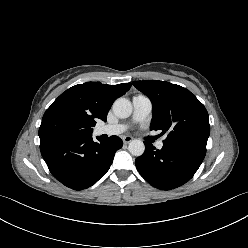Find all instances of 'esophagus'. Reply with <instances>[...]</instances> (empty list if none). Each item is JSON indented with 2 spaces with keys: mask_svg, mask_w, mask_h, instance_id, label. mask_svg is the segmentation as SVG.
I'll use <instances>...</instances> for the list:
<instances>
[{
  "mask_svg": "<svg viewBox=\"0 0 248 248\" xmlns=\"http://www.w3.org/2000/svg\"><path fill=\"white\" fill-rule=\"evenodd\" d=\"M122 140H123V142H124L125 144H127V143H129V142H131V141L133 140V137H132V136H124V137L122 138Z\"/></svg>",
  "mask_w": 248,
  "mask_h": 248,
  "instance_id": "esophagus-1",
  "label": "esophagus"
}]
</instances>
